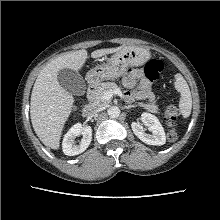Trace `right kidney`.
Here are the masks:
<instances>
[{
  "instance_id": "right-kidney-1",
  "label": "right kidney",
  "mask_w": 220,
  "mask_h": 220,
  "mask_svg": "<svg viewBox=\"0 0 220 220\" xmlns=\"http://www.w3.org/2000/svg\"><path fill=\"white\" fill-rule=\"evenodd\" d=\"M83 135L79 145H75L74 141L77 136ZM92 129L90 126H84L81 123L73 125L63 138V152L65 155L74 156L84 152L91 143Z\"/></svg>"
}]
</instances>
